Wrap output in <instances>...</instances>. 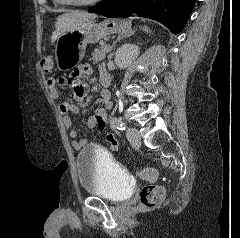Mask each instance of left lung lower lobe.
Here are the masks:
<instances>
[{
    "label": "left lung lower lobe",
    "instance_id": "1",
    "mask_svg": "<svg viewBox=\"0 0 240 238\" xmlns=\"http://www.w3.org/2000/svg\"><path fill=\"white\" fill-rule=\"evenodd\" d=\"M195 0H103L89 9L105 17H148L178 34L190 16Z\"/></svg>",
    "mask_w": 240,
    "mask_h": 238
}]
</instances>
